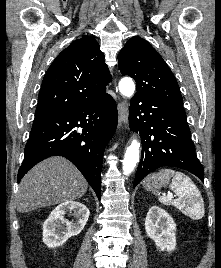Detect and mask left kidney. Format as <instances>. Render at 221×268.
<instances>
[{
  "label": "left kidney",
  "mask_w": 221,
  "mask_h": 268,
  "mask_svg": "<svg viewBox=\"0 0 221 268\" xmlns=\"http://www.w3.org/2000/svg\"><path fill=\"white\" fill-rule=\"evenodd\" d=\"M145 230L161 251L167 249L170 252L175 249L176 224L165 210L152 206L145 219Z\"/></svg>",
  "instance_id": "5707ae66"
}]
</instances>
